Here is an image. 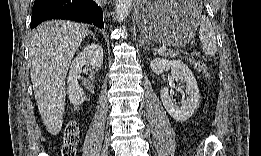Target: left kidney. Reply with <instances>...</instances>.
<instances>
[{
	"label": "left kidney",
	"mask_w": 261,
	"mask_h": 156,
	"mask_svg": "<svg viewBox=\"0 0 261 156\" xmlns=\"http://www.w3.org/2000/svg\"><path fill=\"white\" fill-rule=\"evenodd\" d=\"M151 70L155 74H161L165 69H170L173 78L185 84L186 100H181V106L174 103L170 97L169 89L164 87L160 91L162 103L168 114L177 121L189 119L200 103V94L197 81L186 64L179 60L155 58L150 63Z\"/></svg>",
	"instance_id": "5707ae66"
}]
</instances>
